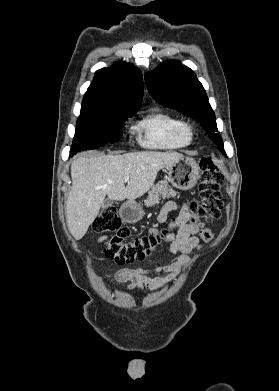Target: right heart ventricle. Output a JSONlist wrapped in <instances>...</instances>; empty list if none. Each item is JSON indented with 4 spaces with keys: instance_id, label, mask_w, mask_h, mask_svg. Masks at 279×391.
Instances as JSON below:
<instances>
[{
    "instance_id": "1",
    "label": "right heart ventricle",
    "mask_w": 279,
    "mask_h": 391,
    "mask_svg": "<svg viewBox=\"0 0 279 391\" xmlns=\"http://www.w3.org/2000/svg\"><path fill=\"white\" fill-rule=\"evenodd\" d=\"M140 144L149 149L175 150L190 144L186 123L177 116L156 109L142 117L134 127Z\"/></svg>"
}]
</instances>
